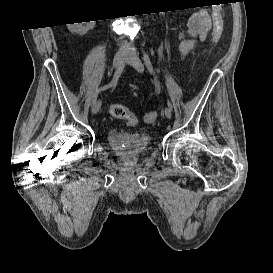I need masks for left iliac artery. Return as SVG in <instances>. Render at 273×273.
Segmentation results:
<instances>
[{
	"label": "left iliac artery",
	"mask_w": 273,
	"mask_h": 273,
	"mask_svg": "<svg viewBox=\"0 0 273 273\" xmlns=\"http://www.w3.org/2000/svg\"><path fill=\"white\" fill-rule=\"evenodd\" d=\"M143 59H144V63H145V65H146L148 71H149L151 74H154V70H153V66H152L151 60H150L149 56H148L145 52L143 53ZM167 104H168V107H169L171 110H173V106H172L171 102L168 101Z\"/></svg>",
	"instance_id": "1"
}]
</instances>
